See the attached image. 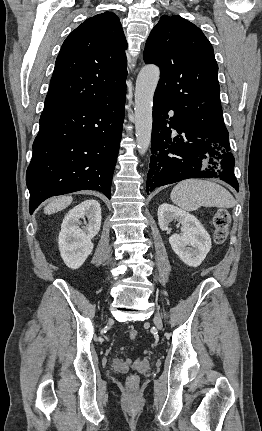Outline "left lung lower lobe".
<instances>
[{
	"mask_svg": "<svg viewBox=\"0 0 262 431\" xmlns=\"http://www.w3.org/2000/svg\"><path fill=\"white\" fill-rule=\"evenodd\" d=\"M171 110L174 111L169 102L155 93L147 193L189 178H219L238 191L235 159L230 152L227 129L214 134L204 133L175 111L169 115Z\"/></svg>",
	"mask_w": 262,
	"mask_h": 431,
	"instance_id": "left-lung-lower-lobe-1",
	"label": "left lung lower lobe"
}]
</instances>
